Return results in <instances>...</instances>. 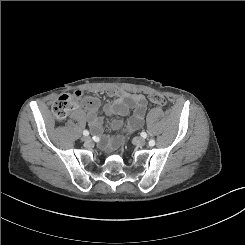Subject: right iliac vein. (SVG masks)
Wrapping results in <instances>:
<instances>
[{
  "instance_id": "63e3f726",
  "label": "right iliac vein",
  "mask_w": 245,
  "mask_h": 245,
  "mask_svg": "<svg viewBox=\"0 0 245 245\" xmlns=\"http://www.w3.org/2000/svg\"><path fill=\"white\" fill-rule=\"evenodd\" d=\"M82 140L85 141V142H90L91 141L90 137H88V136L82 137Z\"/></svg>"
}]
</instances>
